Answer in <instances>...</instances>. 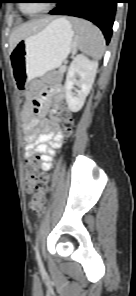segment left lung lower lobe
I'll return each instance as SVG.
<instances>
[{"instance_id":"0a47b994","label":"left lung lower lobe","mask_w":136,"mask_h":296,"mask_svg":"<svg viewBox=\"0 0 136 296\" xmlns=\"http://www.w3.org/2000/svg\"><path fill=\"white\" fill-rule=\"evenodd\" d=\"M118 2L119 0H58L59 4L49 14L75 16L93 22L101 29L108 44Z\"/></svg>"}]
</instances>
